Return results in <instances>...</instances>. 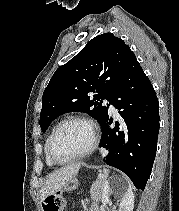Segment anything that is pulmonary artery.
<instances>
[{
	"label": "pulmonary artery",
	"instance_id": "obj_1",
	"mask_svg": "<svg viewBox=\"0 0 179 211\" xmlns=\"http://www.w3.org/2000/svg\"><path fill=\"white\" fill-rule=\"evenodd\" d=\"M106 103H108V104H109V109H110V111H112V112H116L115 107H114L111 103H109L108 101H106Z\"/></svg>",
	"mask_w": 179,
	"mask_h": 211
}]
</instances>
